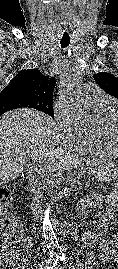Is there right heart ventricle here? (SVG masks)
Wrapping results in <instances>:
<instances>
[{
  "label": "right heart ventricle",
  "mask_w": 118,
  "mask_h": 269,
  "mask_svg": "<svg viewBox=\"0 0 118 269\" xmlns=\"http://www.w3.org/2000/svg\"><path fill=\"white\" fill-rule=\"evenodd\" d=\"M79 150L86 154L117 155V153L106 142L101 140L98 135H91L90 141L82 148H79Z\"/></svg>",
  "instance_id": "right-heart-ventricle-1"
}]
</instances>
